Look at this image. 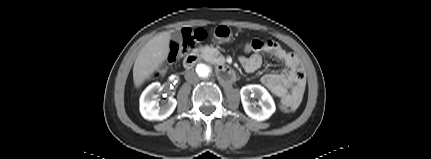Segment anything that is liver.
Wrapping results in <instances>:
<instances>
[{"label": "liver", "instance_id": "1", "mask_svg": "<svg viewBox=\"0 0 431 159\" xmlns=\"http://www.w3.org/2000/svg\"><path fill=\"white\" fill-rule=\"evenodd\" d=\"M171 33L164 31L152 38L139 52L133 67V80L139 88L167 59Z\"/></svg>", "mask_w": 431, "mask_h": 159}]
</instances>
